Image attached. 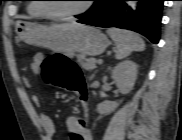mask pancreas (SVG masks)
I'll use <instances>...</instances> for the list:
<instances>
[{
    "instance_id": "pancreas-1",
    "label": "pancreas",
    "mask_w": 182,
    "mask_h": 140,
    "mask_svg": "<svg viewBox=\"0 0 182 140\" xmlns=\"http://www.w3.org/2000/svg\"><path fill=\"white\" fill-rule=\"evenodd\" d=\"M79 64L86 70H92L96 68L97 60L94 58H87L84 54L77 56Z\"/></svg>"
}]
</instances>
